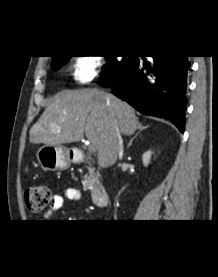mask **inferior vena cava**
I'll return each mask as SVG.
<instances>
[{
	"label": "inferior vena cava",
	"mask_w": 218,
	"mask_h": 277,
	"mask_svg": "<svg viewBox=\"0 0 218 277\" xmlns=\"http://www.w3.org/2000/svg\"><path fill=\"white\" fill-rule=\"evenodd\" d=\"M118 138H119V145H120L119 158L121 159L123 156V146H122V138L119 133H118Z\"/></svg>",
	"instance_id": "obj_1"
}]
</instances>
